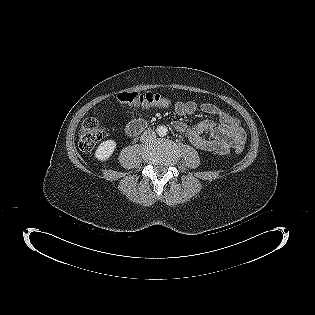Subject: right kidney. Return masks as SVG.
<instances>
[{"mask_svg":"<svg viewBox=\"0 0 315 315\" xmlns=\"http://www.w3.org/2000/svg\"><path fill=\"white\" fill-rule=\"evenodd\" d=\"M117 143L114 140L103 141L95 151V157L99 161L108 160L116 149Z\"/></svg>","mask_w":315,"mask_h":315,"instance_id":"right-kidney-1","label":"right kidney"}]
</instances>
